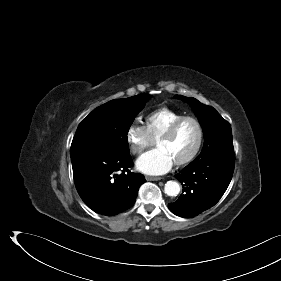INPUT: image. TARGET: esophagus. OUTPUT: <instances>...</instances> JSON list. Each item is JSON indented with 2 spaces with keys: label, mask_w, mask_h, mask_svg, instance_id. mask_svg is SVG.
<instances>
[{
  "label": "esophagus",
  "mask_w": 281,
  "mask_h": 281,
  "mask_svg": "<svg viewBox=\"0 0 281 281\" xmlns=\"http://www.w3.org/2000/svg\"><path fill=\"white\" fill-rule=\"evenodd\" d=\"M161 179V177L146 176L147 181H159Z\"/></svg>",
  "instance_id": "34e87169"
}]
</instances>
